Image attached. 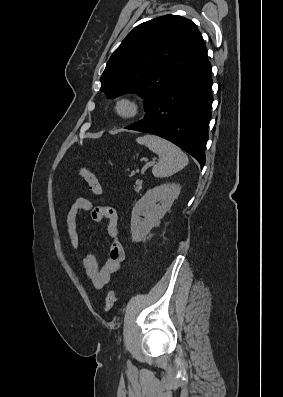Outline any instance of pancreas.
I'll return each instance as SVG.
<instances>
[{"label": "pancreas", "instance_id": "obj_1", "mask_svg": "<svg viewBox=\"0 0 283 397\" xmlns=\"http://www.w3.org/2000/svg\"><path fill=\"white\" fill-rule=\"evenodd\" d=\"M141 188H142V182L137 180L135 183V186H134V191L139 192L141 190Z\"/></svg>", "mask_w": 283, "mask_h": 397}]
</instances>
